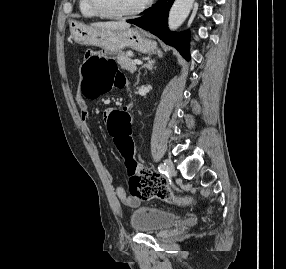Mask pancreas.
I'll return each instance as SVG.
<instances>
[{"label": "pancreas", "mask_w": 286, "mask_h": 269, "mask_svg": "<svg viewBox=\"0 0 286 269\" xmlns=\"http://www.w3.org/2000/svg\"><path fill=\"white\" fill-rule=\"evenodd\" d=\"M118 64L121 66L122 69L134 73L136 70V64L134 61L129 57L128 53H123L118 57L117 60Z\"/></svg>", "instance_id": "obj_1"}]
</instances>
